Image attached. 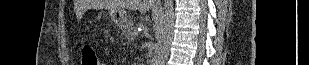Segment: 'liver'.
Listing matches in <instances>:
<instances>
[{"label": "liver", "mask_w": 309, "mask_h": 65, "mask_svg": "<svg viewBox=\"0 0 309 65\" xmlns=\"http://www.w3.org/2000/svg\"><path fill=\"white\" fill-rule=\"evenodd\" d=\"M101 6L110 9L126 8L129 10H139L141 13H145L153 5L152 0H105L102 1Z\"/></svg>", "instance_id": "obj_1"}]
</instances>
